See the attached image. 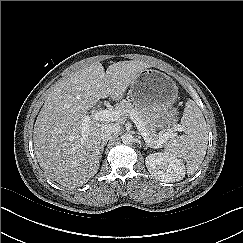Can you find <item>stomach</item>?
<instances>
[{
  "instance_id": "1",
  "label": "stomach",
  "mask_w": 243,
  "mask_h": 243,
  "mask_svg": "<svg viewBox=\"0 0 243 243\" xmlns=\"http://www.w3.org/2000/svg\"><path fill=\"white\" fill-rule=\"evenodd\" d=\"M129 95L134 105L150 113L155 128L168 131L176 123L178 87L165 73L144 69L130 85Z\"/></svg>"
}]
</instances>
